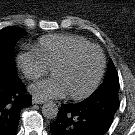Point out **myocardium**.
Here are the masks:
<instances>
[{"instance_id": "obj_1", "label": "myocardium", "mask_w": 135, "mask_h": 135, "mask_svg": "<svg viewBox=\"0 0 135 135\" xmlns=\"http://www.w3.org/2000/svg\"><path fill=\"white\" fill-rule=\"evenodd\" d=\"M87 50H95L98 52L100 56V66H99V71L92 82V84L82 93L80 94H72L69 93V97L73 100H82L87 97H89L98 87V85L101 82V79L104 75L105 72V66H106V60H105V55L102 51V49L96 45L90 44V45H85V46H79L71 50L68 54H66L63 58L58 60L51 68V71H53L59 67L65 66L69 64L78 54L81 52L87 51Z\"/></svg>"}]
</instances>
